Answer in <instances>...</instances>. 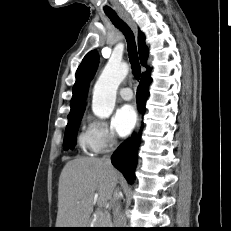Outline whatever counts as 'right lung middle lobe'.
<instances>
[{
  "label": "right lung middle lobe",
  "instance_id": "1",
  "mask_svg": "<svg viewBox=\"0 0 231 231\" xmlns=\"http://www.w3.org/2000/svg\"><path fill=\"white\" fill-rule=\"evenodd\" d=\"M83 113L68 117V124L65 130V136L63 141L64 150H68L69 148H73L76 145V136L77 131L82 119Z\"/></svg>",
  "mask_w": 231,
  "mask_h": 231
}]
</instances>
